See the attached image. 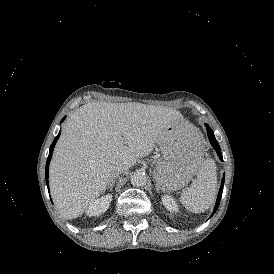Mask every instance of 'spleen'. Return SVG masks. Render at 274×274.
I'll return each instance as SVG.
<instances>
[{
    "label": "spleen",
    "mask_w": 274,
    "mask_h": 274,
    "mask_svg": "<svg viewBox=\"0 0 274 274\" xmlns=\"http://www.w3.org/2000/svg\"><path fill=\"white\" fill-rule=\"evenodd\" d=\"M198 136V138H197ZM193 140L198 163L197 178L191 186L183 190L180 201L191 212L198 213L209 209L217 194V171L215 161L211 158L203 159L199 133Z\"/></svg>",
    "instance_id": "1"
}]
</instances>
